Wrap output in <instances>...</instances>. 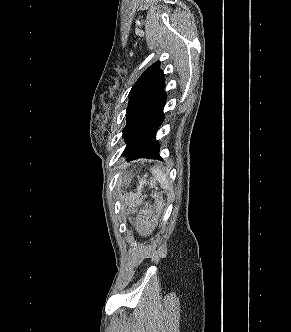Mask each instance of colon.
<instances>
[{
    "label": "colon",
    "instance_id": "colon-1",
    "mask_svg": "<svg viewBox=\"0 0 291 332\" xmlns=\"http://www.w3.org/2000/svg\"><path fill=\"white\" fill-rule=\"evenodd\" d=\"M162 207V200L159 199L157 205L155 207V211H159ZM142 222L145 227H150L153 224L154 217H153V209L150 207H146L143 209L142 214Z\"/></svg>",
    "mask_w": 291,
    "mask_h": 332
}]
</instances>
